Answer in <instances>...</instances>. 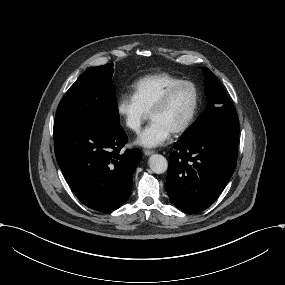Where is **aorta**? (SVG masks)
Instances as JSON below:
<instances>
[{"instance_id": "1", "label": "aorta", "mask_w": 285, "mask_h": 285, "mask_svg": "<svg viewBox=\"0 0 285 285\" xmlns=\"http://www.w3.org/2000/svg\"><path fill=\"white\" fill-rule=\"evenodd\" d=\"M149 167L156 174H162L168 169L166 158L159 154H154L149 158Z\"/></svg>"}]
</instances>
